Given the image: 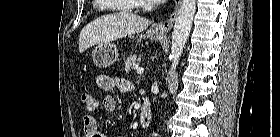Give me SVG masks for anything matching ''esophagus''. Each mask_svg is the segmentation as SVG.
Segmentation results:
<instances>
[{
  "mask_svg": "<svg viewBox=\"0 0 280 137\" xmlns=\"http://www.w3.org/2000/svg\"><path fill=\"white\" fill-rule=\"evenodd\" d=\"M180 4H181V0H174L175 6H174V10H173L171 16L166 21L155 24L153 26L154 32L159 33V34H166L169 32V30L172 28L173 23L176 19Z\"/></svg>",
  "mask_w": 280,
  "mask_h": 137,
  "instance_id": "34e87169",
  "label": "esophagus"
}]
</instances>
